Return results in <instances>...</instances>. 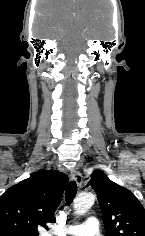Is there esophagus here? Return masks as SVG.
Segmentation results:
<instances>
[{
  "instance_id": "1",
  "label": "esophagus",
  "mask_w": 145,
  "mask_h": 236,
  "mask_svg": "<svg viewBox=\"0 0 145 236\" xmlns=\"http://www.w3.org/2000/svg\"><path fill=\"white\" fill-rule=\"evenodd\" d=\"M71 177L76 181L78 186L82 185L83 182L82 175L77 169L71 170Z\"/></svg>"
}]
</instances>
